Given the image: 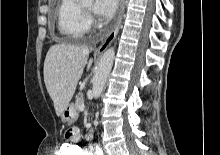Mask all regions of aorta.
<instances>
[{"label": "aorta", "instance_id": "762f6f07", "mask_svg": "<svg viewBox=\"0 0 220 155\" xmlns=\"http://www.w3.org/2000/svg\"><path fill=\"white\" fill-rule=\"evenodd\" d=\"M115 58L114 48H109L102 55L98 67L96 69L95 75L93 77L92 83V92L94 98H98L105 86L108 75L112 69L113 62Z\"/></svg>", "mask_w": 220, "mask_h": 155}]
</instances>
